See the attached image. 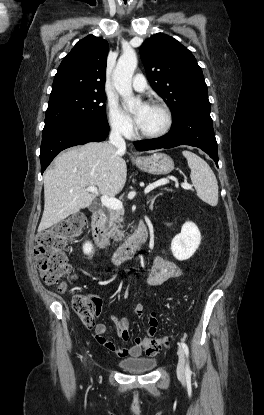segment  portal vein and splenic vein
<instances>
[{
  "label": "portal vein and splenic vein",
  "instance_id": "obj_1",
  "mask_svg": "<svg viewBox=\"0 0 264 415\" xmlns=\"http://www.w3.org/2000/svg\"><path fill=\"white\" fill-rule=\"evenodd\" d=\"M167 183H169V180H167V179L160 180L158 182H155V183L150 184L149 186H147L145 188L144 192H145V194H147L151 190H153L154 188H156L158 186H161V185H164V184H167ZM181 187L184 188V189H187V190L191 189V185L187 182L182 183ZM86 190L89 191V192H92V193H98L97 188L94 187V186L87 187ZM101 202L105 207H107L109 209H112V210L118 211V210H121L123 208V204L120 200H117L115 198H111L107 195H103L101 197Z\"/></svg>",
  "mask_w": 264,
  "mask_h": 415
}]
</instances>
